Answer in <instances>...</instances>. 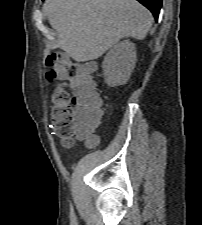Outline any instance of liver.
<instances>
[{
    "label": "liver",
    "mask_w": 202,
    "mask_h": 225,
    "mask_svg": "<svg viewBox=\"0 0 202 225\" xmlns=\"http://www.w3.org/2000/svg\"><path fill=\"white\" fill-rule=\"evenodd\" d=\"M44 10L57 33L52 46L76 62L98 59L125 37L143 40L153 22L136 0H46Z\"/></svg>",
    "instance_id": "liver-1"
}]
</instances>
